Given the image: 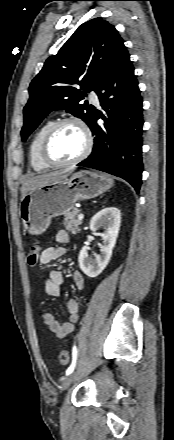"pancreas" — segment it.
Here are the masks:
<instances>
[{
    "label": "pancreas",
    "mask_w": 174,
    "mask_h": 440,
    "mask_svg": "<svg viewBox=\"0 0 174 440\" xmlns=\"http://www.w3.org/2000/svg\"><path fill=\"white\" fill-rule=\"evenodd\" d=\"M80 214V210L74 208L71 212L65 214L63 219V226L66 230L72 232L73 234L79 233V226L82 224L81 221L78 220V215Z\"/></svg>",
    "instance_id": "1"
}]
</instances>
